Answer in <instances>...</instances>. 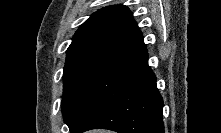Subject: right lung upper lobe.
I'll return each mask as SVG.
<instances>
[{"label": "right lung upper lobe", "mask_w": 221, "mask_h": 133, "mask_svg": "<svg viewBox=\"0 0 221 133\" xmlns=\"http://www.w3.org/2000/svg\"><path fill=\"white\" fill-rule=\"evenodd\" d=\"M146 51L130 10L123 5L108 6L92 14L76 31L64 71H106Z\"/></svg>", "instance_id": "obj_1"}]
</instances>
